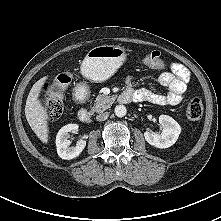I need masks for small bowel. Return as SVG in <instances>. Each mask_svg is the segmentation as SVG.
Returning a JSON list of instances; mask_svg holds the SVG:
<instances>
[{"label": "small bowel", "instance_id": "small-bowel-1", "mask_svg": "<svg viewBox=\"0 0 221 221\" xmlns=\"http://www.w3.org/2000/svg\"><path fill=\"white\" fill-rule=\"evenodd\" d=\"M189 79L188 70L182 64L174 62L171 64V71L163 73L159 77V84L168 90L167 94H160L146 88H135L131 77L126 81L125 92L134 101H147L161 106L177 105L184 98Z\"/></svg>", "mask_w": 221, "mask_h": 221}]
</instances>
